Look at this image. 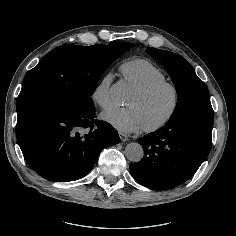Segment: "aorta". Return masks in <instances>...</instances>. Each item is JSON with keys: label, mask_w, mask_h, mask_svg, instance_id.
Wrapping results in <instances>:
<instances>
[{"label": "aorta", "mask_w": 236, "mask_h": 236, "mask_svg": "<svg viewBox=\"0 0 236 236\" xmlns=\"http://www.w3.org/2000/svg\"><path fill=\"white\" fill-rule=\"evenodd\" d=\"M144 155L143 147L137 142L127 144L125 148V156L132 162H139Z\"/></svg>", "instance_id": "aorta-1"}]
</instances>
